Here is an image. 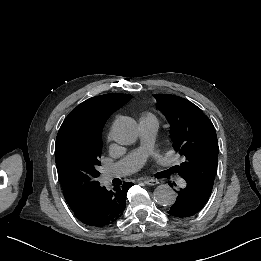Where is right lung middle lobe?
<instances>
[{"label": "right lung middle lobe", "instance_id": "dd1d6c3e", "mask_svg": "<svg viewBox=\"0 0 261 261\" xmlns=\"http://www.w3.org/2000/svg\"><path fill=\"white\" fill-rule=\"evenodd\" d=\"M102 139L91 137L82 131L65 136L57 149L55 160L64 197L69 203L85 196L97 186Z\"/></svg>", "mask_w": 261, "mask_h": 261}]
</instances>
